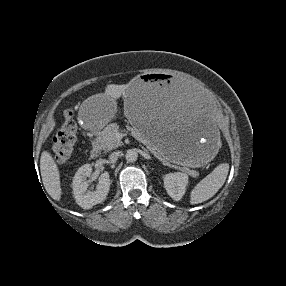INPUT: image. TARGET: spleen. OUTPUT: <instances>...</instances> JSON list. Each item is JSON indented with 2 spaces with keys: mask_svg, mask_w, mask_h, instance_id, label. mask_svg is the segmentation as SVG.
Returning a JSON list of instances; mask_svg holds the SVG:
<instances>
[{
  "mask_svg": "<svg viewBox=\"0 0 286 286\" xmlns=\"http://www.w3.org/2000/svg\"><path fill=\"white\" fill-rule=\"evenodd\" d=\"M228 171V163L218 165L192 189L190 204H199L213 197L225 183Z\"/></svg>",
  "mask_w": 286,
  "mask_h": 286,
  "instance_id": "obj_1",
  "label": "spleen"
}]
</instances>
